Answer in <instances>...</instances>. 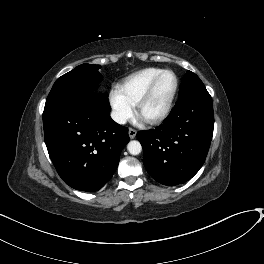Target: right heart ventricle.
I'll use <instances>...</instances> for the list:
<instances>
[{
    "label": "right heart ventricle",
    "mask_w": 264,
    "mask_h": 264,
    "mask_svg": "<svg viewBox=\"0 0 264 264\" xmlns=\"http://www.w3.org/2000/svg\"><path fill=\"white\" fill-rule=\"evenodd\" d=\"M160 68L148 67L127 76L119 86L120 92L134 105L150 82L161 72Z\"/></svg>",
    "instance_id": "e07e8e85"
}]
</instances>
